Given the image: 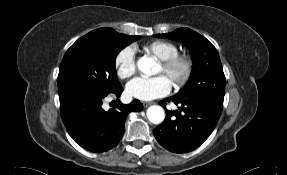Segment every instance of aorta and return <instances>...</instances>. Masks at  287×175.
Wrapping results in <instances>:
<instances>
[{"mask_svg": "<svg viewBox=\"0 0 287 175\" xmlns=\"http://www.w3.org/2000/svg\"><path fill=\"white\" fill-rule=\"evenodd\" d=\"M156 62L150 57H141L137 61L138 69L145 75L150 76L154 73ZM147 118L153 124L161 123L165 118L164 110L161 106L153 105L147 109Z\"/></svg>", "mask_w": 287, "mask_h": 175, "instance_id": "obj_1", "label": "aorta"}]
</instances>
